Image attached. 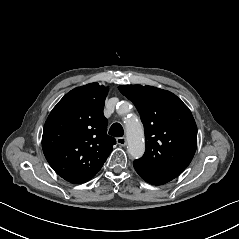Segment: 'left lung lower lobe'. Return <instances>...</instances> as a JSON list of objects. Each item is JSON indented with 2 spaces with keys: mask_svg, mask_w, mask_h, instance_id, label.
<instances>
[{
  "mask_svg": "<svg viewBox=\"0 0 239 239\" xmlns=\"http://www.w3.org/2000/svg\"><path fill=\"white\" fill-rule=\"evenodd\" d=\"M136 172L148 183L153 185L165 184L179 176L185 168H171L161 166H149L134 161Z\"/></svg>",
  "mask_w": 239,
  "mask_h": 239,
  "instance_id": "obj_1",
  "label": "left lung lower lobe"
}]
</instances>
